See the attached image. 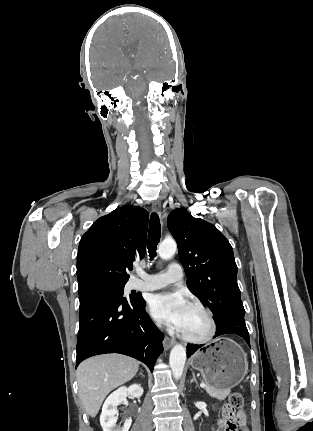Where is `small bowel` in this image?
Masks as SVG:
<instances>
[{
  "instance_id": "obj_1",
  "label": "small bowel",
  "mask_w": 313,
  "mask_h": 431,
  "mask_svg": "<svg viewBox=\"0 0 313 431\" xmlns=\"http://www.w3.org/2000/svg\"><path fill=\"white\" fill-rule=\"evenodd\" d=\"M232 422L237 426H239L242 431H248L246 426V414L243 410H239L237 413L231 418ZM219 426L223 429V431H227L228 420L224 416L218 421Z\"/></svg>"
}]
</instances>
